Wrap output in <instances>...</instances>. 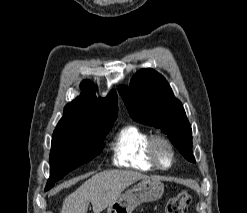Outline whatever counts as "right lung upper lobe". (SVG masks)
<instances>
[{
    "label": "right lung upper lobe",
    "mask_w": 247,
    "mask_h": 213,
    "mask_svg": "<svg viewBox=\"0 0 247 213\" xmlns=\"http://www.w3.org/2000/svg\"><path fill=\"white\" fill-rule=\"evenodd\" d=\"M81 89V95L65 106L55 131H90L115 121L118 107L114 90L105 98H97L88 80L82 82Z\"/></svg>",
    "instance_id": "right-lung-upper-lobe-1"
}]
</instances>
